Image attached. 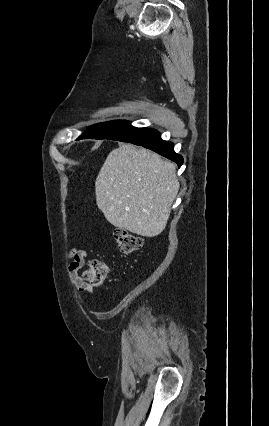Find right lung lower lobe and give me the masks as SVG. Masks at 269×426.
<instances>
[{
    "instance_id": "obj_1",
    "label": "right lung lower lobe",
    "mask_w": 269,
    "mask_h": 426,
    "mask_svg": "<svg viewBox=\"0 0 269 426\" xmlns=\"http://www.w3.org/2000/svg\"><path fill=\"white\" fill-rule=\"evenodd\" d=\"M118 141L128 142L148 148L176 162L179 167L183 164L182 156L174 152V144L172 142L162 140L160 133L157 130L139 128L127 137L118 139Z\"/></svg>"
}]
</instances>
